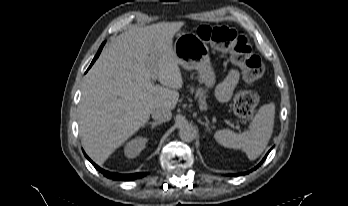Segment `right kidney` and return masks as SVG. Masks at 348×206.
Masks as SVG:
<instances>
[{"label": "right kidney", "mask_w": 348, "mask_h": 206, "mask_svg": "<svg viewBox=\"0 0 348 206\" xmlns=\"http://www.w3.org/2000/svg\"><path fill=\"white\" fill-rule=\"evenodd\" d=\"M147 139L144 137H136L126 143L124 147V154L126 157L132 159L137 157L145 148Z\"/></svg>", "instance_id": "1"}]
</instances>
